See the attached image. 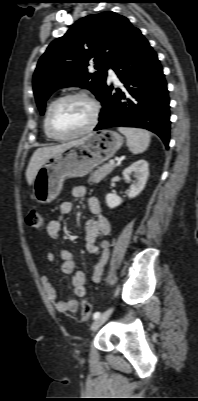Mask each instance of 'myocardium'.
I'll return each mask as SVG.
<instances>
[{"label":"myocardium","mask_w":198,"mask_h":401,"mask_svg":"<svg viewBox=\"0 0 198 401\" xmlns=\"http://www.w3.org/2000/svg\"><path fill=\"white\" fill-rule=\"evenodd\" d=\"M69 99H83L85 101H87L93 109V115H92V119L89 123V125L87 127H85L84 129L70 134V135H58L54 132L53 128H52V115L55 111V109L64 101L69 100ZM100 111H101V107L99 102L92 97L91 95L84 93V92H74V93H69L66 95H63L59 98H57L55 101H53V103L51 104L47 114H46V130L48 135L55 140L58 141H67V140H71L80 136H83L89 132H91L96 125L98 124L99 121V117H100Z\"/></svg>","instance_id":"f54148a6"}]
</instances>
